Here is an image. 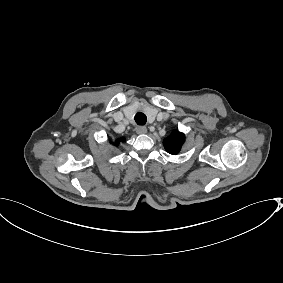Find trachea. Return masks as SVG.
Listing matches in <instances>:
<instances>
[{"instance_id": "trachea-1", "label": "trachea", "mask_w": 283, "mask_h": 283, "mask_svg": "<svg viewBox=\"0 0 283 283\" xmlns=\"http://www.w3.org/2000/svg\"><path fill=\"white\" fill-rule=\"evenodd\" d=\"M147 118L146 115L144 113L138 112L135 115V122L140 125L143 126L144 124H146Z\"/></svg>"}]
</instances>
